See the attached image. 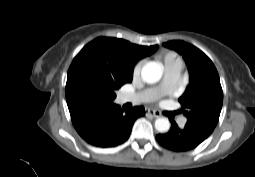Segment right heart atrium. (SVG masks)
Returning a JSON list of instances; mask_svg holds the SVG:
<instances>
[{
    "label": "right heart atrium",
    "mask_w": 255,
    "mask_h": 177,
    "mask_svg": "<svg viewBox=\"0 0 255 177\" xmlns=\"http://www.w3.org/2000/svg\"><path fill=\"white\" fill-rule=\"evenodd\" d=\"M144 65V61L143 60H139L133 67V75L134 77L139 76L141 69Z\"/></svg>",
    "instance_id": "obj_1"
}]
</instances>
